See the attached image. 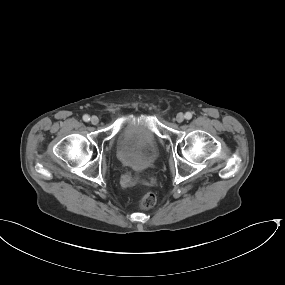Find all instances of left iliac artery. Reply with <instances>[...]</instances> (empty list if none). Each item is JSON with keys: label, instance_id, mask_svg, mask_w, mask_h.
<instances>
[{"label": "left iliac artery", "instance_id": "left-iliac-artery-1", "mask_svg": "<svg viewBox=\"0 0 285 285\" xmlns=\"http://www.w3.org/2000/svg\"><path fill=\"white\" fill-rule=\"evenodd\" d=\"M185 118H186L187 120H190V119L192 118V113H191V112H187V113L185 114Z\"/></svg>", "mask_w": 285, "mask_h": 285}]
</instances>
